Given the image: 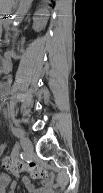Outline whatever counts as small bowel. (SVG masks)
Segmentation results:
<instances>
[{"label": "small bowel", "mask_w": 103, "mask_h": 193, "mask_svg": "<svg viewBox=\"0 0 103 193\" xmlns=\"http://www.w3.org/2000/svg\"><path fill=\"white\" fill-rule=\"evenodd\" d=\"M4 146L2 145L1 148ZM26 193H56V183L53 178H47L41 182L39 186H35L31 180L24 176L22 178ZM0 186L3 193H15L17 189L16 182L11 180L8 174L0 175Z\"/></svg>", "instance_id": "c3829d8e"}]
</instances>
